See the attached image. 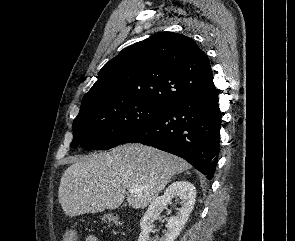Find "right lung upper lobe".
Returning <instances> with one entry per match:
<instances>
[{
  "label": "right lung upper lobe",
  "mask_w": 295,
  "mask_h": 241,
  "mask_svg": "<svg viewBox=\"0 0 295 241\" xmlns=\"http://www.w3.org/2000/svg\"><path fill=\"white\" fill-rule=\"evenodd\" d=\"M213 85L209 59L191 38L159 32L107 62L85 96L114 91L133 101L165 107Z\"/></svg>",
  "instance_id": "cb5924a9"
}]
</instances>
